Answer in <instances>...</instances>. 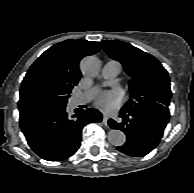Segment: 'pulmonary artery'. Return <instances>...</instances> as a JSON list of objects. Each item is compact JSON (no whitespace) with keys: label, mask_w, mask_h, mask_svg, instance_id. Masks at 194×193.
Returning <instances> with one entry per match:
<instances>
[{"label":"pulmonary artery","mask_w":194,"mask_h":193,"mask_svg":"<svg viewBox=\"0 0 194 193\" xmlns=\"http://www.w3.org/2000/svg\"><path fill=\"white\" fill-rule=\"evenodd\" d=\"M122 66L120 62L115 60H110L105 63L102 76L106 80H112L121 72ZM97 89L92 88L84 93L80 94L78 97L75 98L76 104H82L88 102L96 93Z\"/></svg>","instance_id":"obj_1"}]
</instances>
